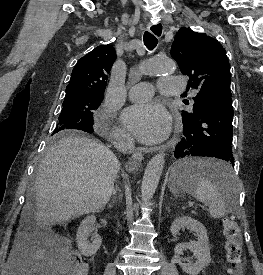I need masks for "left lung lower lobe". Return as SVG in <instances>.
Masks as SVG:
<instances>
[{"mask_svg":"<svg viewBox=\"0 0 263 275\" xmlns=\"http://www.w3.org/2000/svg\"><path fill=\"white\" fill-rule=\"evenodd\" d=\"M233 107L231 97L221 98L201 112L196 121L183 123V136L174 157H215L234 166L232 154ZM216 174L218 171H208ZM220 172V171H219Z\"/></svg>","mask_w":263,"mask_h":275,"instance_id":"obj_1","label":"left lung lower lobe"}]
</instances>
